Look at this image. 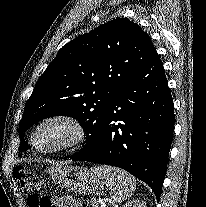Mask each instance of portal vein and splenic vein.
Wrapping results in <instances>:
<instances>
[{"mask_svg": "<svg viewBox=\"0 0 206 207\" xmlns=\"http://www.w3.org/2000/svg\"><path fill=\"white\" fill-rule=\"evenodd\" d=\"M101 207H105V203L101 201Z\"/></svg>", "mask_w": 206, "mask_h": 207, "instance_id": "obj_1", "label": "portal vein and splenic vein"}]
</instances>
